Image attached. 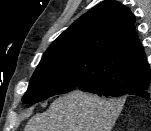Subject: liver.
<instances>
[{"label": "liver", "mask_w": 151, "mask_h": 131, "mask_svg": "<svg viewBox=\"0 0 151 131\" xmlns=\"http://www.w3.org/2000/svg\"><path fill=\"white\" fill-rule=\"evenodd\" d=\"M122 105L118 100L75 91L33 116L24 131H111Z\"/></svg>", "instance_id": "obj_1"}]
</instances>
